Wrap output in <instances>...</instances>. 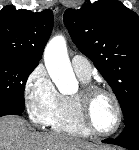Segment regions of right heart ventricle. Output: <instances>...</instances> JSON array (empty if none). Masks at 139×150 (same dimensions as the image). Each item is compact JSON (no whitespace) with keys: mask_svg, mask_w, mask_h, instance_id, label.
Returning <instances> with one entry per match:
<instances>
[{"mask_svg":"<svg viewBox=\"0 0 139 150\" xmlns=\"http://www.w3.org/2000/svg\"><path fill=\"white\" fill-rule=\"evenodd\" d=\"M80 79L86 84L89 82V80L83 79L82 77ZM46 125L56 132L83 137L91 135L80 120L76 95L60 94L49 114Z\"/></svg>","mask_w":139,"mask_h":150,"instance_id":"1","label":"right heart ventricle"}]
</instances>
